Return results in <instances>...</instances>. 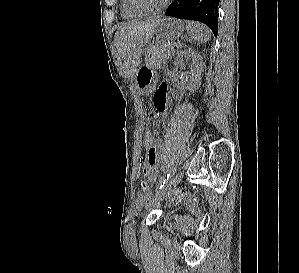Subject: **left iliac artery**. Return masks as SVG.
I'll use <instances>...</instances> for the list:
<instances>
[{"instance_id": "left-iliac-artery-1", "label": "left iliac artery", "mask_w": 299, "mask_h": 273, "mask_svg": "<svg viewBox=\"0 0 299 273\" xmlns=\"http://www.w3.org/2000/svg\"><path fill=\"white\" fill-rule=\"evenodd\" d=\"M170 176H171V173H168L160 179L158 186H157V190L158 189L160 190L163 188L164 184L167 182V180L170 178Z\"/></svg>"}]
</instances>
